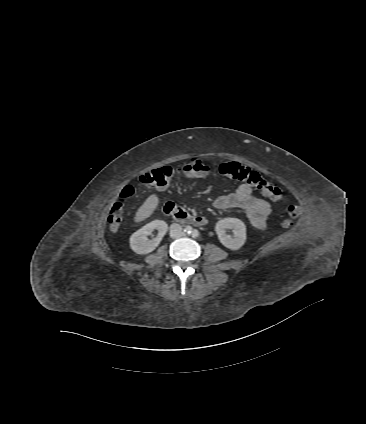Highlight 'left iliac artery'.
Returning <instances> with one entry per match:
<instances>
[{"label": "left iliac artery", "instance_id": "obj_1", "mask_svg": "<svg viewBox=\"0 0 366 424\" xmlns=\"http://www.w3.org/2000/svg\"><path fill=\"white\" fill-rule=\"evenodd\" d=\"M192 236L193 237H198L199 236V231L198 230H196V229H194L193 231H192Z\"/></svg>", "mask_w": 366, "mask_h": 424}]
</instances>
